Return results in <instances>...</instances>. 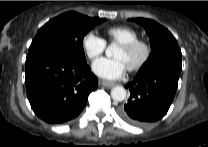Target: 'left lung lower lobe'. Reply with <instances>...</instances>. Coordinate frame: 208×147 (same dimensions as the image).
Instances as JSON below:
<instances>
[{
  "label": "left lung lower lobe",
  "mask_w": 208,
  "mask_h": 147,
  "mask_svg": "<svg viewBox=\"0 0 208 147\" xmlns=\"http://www.w3.org/2000/svg\"><path fill=\"white\" fill-rule=\"evenodd\" d=\"M180 72L169 66L158 67L128 83L130 98L119 109L129 124L145 126L160 120L173 102Z\"/></svg>",
  "instance_id": "1"
}]
</instances>
